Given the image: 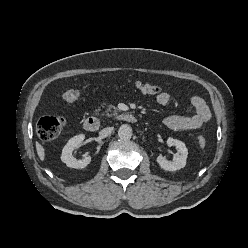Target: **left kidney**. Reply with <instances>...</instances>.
<instances>
[{
    "mask_svg": "<svg viewBox=\"0 0 248 248\" xmlns=\"http://www.w3.org/2000/svg\"><path fill=\"white\" fill-rule=\"evenodd\" d=\"M167 144L168 146H175L177 149V153L173 155V159L171 161L167 160L161 155L158 156L157 162L159 166L166 171L172 172L184 168L186 165V159L188 157V150L185 144L182 141L174 139L172 137H169L167 139Z\"/></svg>",
    "mask_w": 248,
    "mask_h": 248,
    "instance_id": "1",
    "label": "left kidney"
}]
</instances>
